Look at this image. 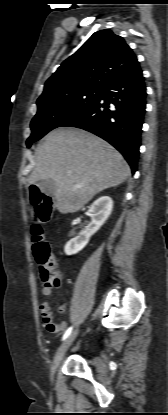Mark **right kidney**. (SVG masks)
<instances>
[{"mask_svg": "<svg viewBox=\"0 0 168 415\" xmlns=\"http://www.w3.org/2000/svg\"><path fill=\"white\" fill-rule=\"evenodd\" d=\"M112 208L113 200L108 196H103L94 201L87 213L91 218V222L79 236L66 243L64 247L65 254L73 255L81 251L89 242L90 237L94 235L108 219L112 212Z\"/></svg>", "mask_w": 168, "mask_h": 415, "instance_id": "obj_1", "label": "right kidney"}]
</instances>
